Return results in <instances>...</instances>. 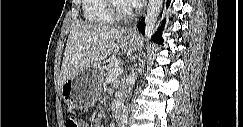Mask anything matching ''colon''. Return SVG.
Returning <instances> with one entry per match:
<instances>
[{
	"label": "colon",
	"instance_id": "obj_1",
	"mask_svg": "<svg viewBox=\"0 0 243 127\" xmlns=\"http://www.w3.org/2000/svg\"><path fill=\"white\" fill-rule=\"evenodd\" d=\"M66 127H83V124L75 115H70L66 118L65 121Z\"/></svg>",
	"mask_w": 243,
	"mask_h": 127
}]
</instances>
